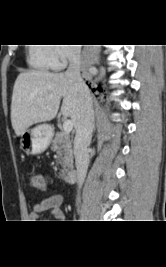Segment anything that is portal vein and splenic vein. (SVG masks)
Masks as SVG:
<instances>
[{
    "label": "portal vein and splenic vein",
    "instance_id": "obj_1",
    "mask_svg": "<svg viewBox=\"0 0 166 267\" xmlns=\"http://www.w3.org/2000/svg\"><path fill=\"white\" fill-rule=\"evenodd\" d=\"M73 129V122L69 119H66L63 122V130L65 134H69Z\"/></svg>",
    "mask_w": 166,
    "mask_h": 267
}]
</instances>
